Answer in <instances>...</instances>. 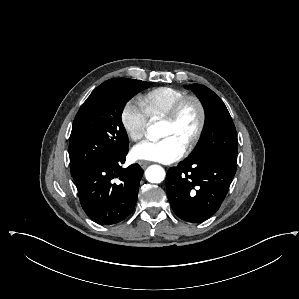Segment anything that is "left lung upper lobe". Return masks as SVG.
I'll return each mask as SVG.
<instances>
[{
    "instance_id": "5c2ea615",
    "label": "left lung upper lobe",
    "mask_w": 299,
    "mask_h": 299,
    "mask_svg": "<svg viewBox=\"0 0 299 299\" xmlns=\"http://www.w3.org/2000/svg\"><path fill=\"white\" fill-rule=\"evenodd\" d=\"M185 87L197 95L206 115L204 136L186 160L196 161L217 156L236 163L238 148L236 129L223 101L212 90L201 84Z\"/></svg>"
}]
</instances>
